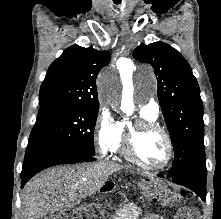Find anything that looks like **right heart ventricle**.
Returning a JSON list of instances; mask_svg holds the SVG:
<instances>
[{
    "label": "right heart ventricle",
    "instance_id": "right-heart-ventricle-1",
    "mask_svg": "<svg viewBox=\"0 0 221 219\" xmlns=\"http://www.w3.org/2000/svg\"><path fill=\"white\" fill-rule=\"evenodd\" d=\"M141 117L143 119H146V120H149V121H155L156 120V117L150 115L149 113H146V112H143L141 111L140 113ZM126 127H127V124L125 122H120L119 123V132H118V138H117V141L112 149V153H121L123 154V140H124V134H125V131H126Z\"/></svg>",
    "mask_w": 221,
    "mask_h": 219
}]
</instances>
